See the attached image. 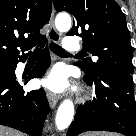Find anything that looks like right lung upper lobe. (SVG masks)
I'll return each instance as SVG.
<instances>
[{"instance_id": "cb5924a9", "label": "right lung upper lobe", "mask_w": 136, "mask_h": 136, "mask_svg": "<svg viewBox=\"0 0 136 136\" xmlns=\"http://www.w3.org/2000/svg\"><path fill=\"white\" fill-rule=\"evenodd\" d=\"M51 0H0V64H13L46 40L39 30L51 16Z\"/></svg>"}]
</instances>
